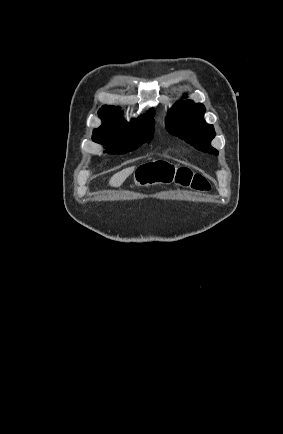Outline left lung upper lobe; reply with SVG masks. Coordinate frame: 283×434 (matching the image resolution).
<instances>
[{
    "mask_svg": "<svg viewBox=\"0 0 283 434\" xmlns=\"http://www.w3.org/2000/svg\"><path fill=\"white\" fill-rule=\"evenodd\" d=\"M205 107L193 101H179L169 111L166 118V129L193 145L196 149L218 155L210 142L215 137L212 125L204 121Z\"/></svg>",
    "mask_w": 283,
    "mask_h": 434,
    "instance_id": "5c2ea615",
    "label": "left lung upper lobe"
}]
</instances>
